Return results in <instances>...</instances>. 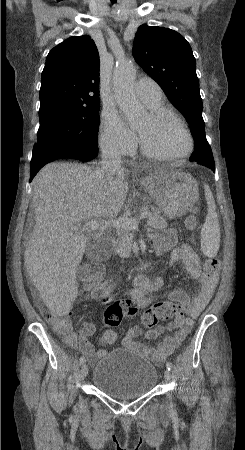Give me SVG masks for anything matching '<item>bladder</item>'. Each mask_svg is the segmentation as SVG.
Segmentation results:
<instances>
[{"instance_id":"1","label":"bladder","mask_w":245,"mask_h":450,"mask_svg":"<svg viewBox=\"0 0 245 450\" xmlns=\"http://www.w3.org/2000/svg\"><path fill=\"white\" fill-rule=\"evenodd\" d=\"M159 379L157 367L142 353L116 347L94 362L91 385L116 399H132L151 391Z\"/></svg>"}]
</instances>
